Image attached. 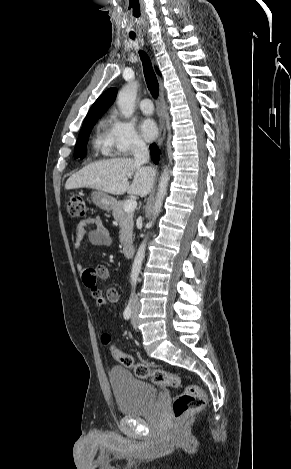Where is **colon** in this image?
Instances as JSON below:
<instances>
[{
	"mask_svg": "<svg viewBox=\"0 0 291 469\" xmlns=\"http://www.w3.org/2000/svg\"><path fill=\"white\" fill-rule=\"evenodd\" d=\"M68 213L75 218H83L87 213V207L84 199L79 195H72L67 204ZM94 303L99 308L106 306V301L101 296L94 298ZM102 342L109 346L110 353L114 359L120 362L126 368L134 371L136 377L140 379H150L154 384L179 388L182 384L181 377L175 373L160 369H151L144 363L136 362L135 359L126 353L120 351L117 347L110 345V336L102 335ZM206 402L204 392L197 385H187L172 402V414L175 419H182L191 412L201 409Z\"/></svg>",
	"mask_w": 291,
	"mask_h": 469,
	"instance_id": "obj_1",
	"label": "colon"
}]
</instances>
